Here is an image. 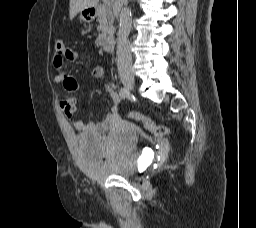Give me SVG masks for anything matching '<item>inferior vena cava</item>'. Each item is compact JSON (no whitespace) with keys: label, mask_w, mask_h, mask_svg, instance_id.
<instances>
[{"label":"inferior vena cava","mask_w":256,"mask_h":228,"mask_svg":"<svg viewBox=\"0 0 256 228\" xmlns=\"http://www.w3.org/2000/svg\"><path fill=\"white\" fill-rule=\"evenodd\" d=\"M126 0H116L114 14L118 17L120 9ZM117 67L120 76L131 74L132 71V56L127 37H122L120 30L117 39Z\"/></svg>","instance_id":"inferior-vena-cava-1"}]
</instances>
